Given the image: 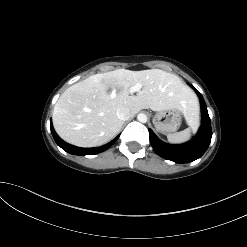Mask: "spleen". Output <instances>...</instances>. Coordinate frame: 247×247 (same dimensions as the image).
Masks as SVG:
<instances>
[{"instance_id":"1","label":"spleen","mask_w":247,"mask_h":247,"mask_svg":"<svg viewBox=\"0 0 247 247\" xmlns=\"http://www.w3.org/2000/svg\"><path fill=\"white\" fill-rule=\"evenodd\" d=\"M195 115V113H191V118L186 119L188 125L190 126L189 128L167 135V139L170 143L179 144L184 143L190 139L192 129H194L198 124V114L196 116Z\"/></svg>"}]
</instances>
